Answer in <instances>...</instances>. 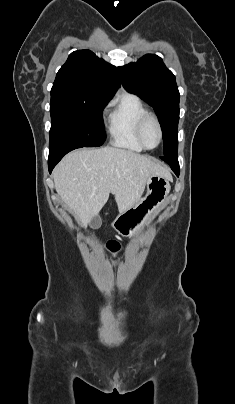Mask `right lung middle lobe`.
I'll use <instances>...</instances> for the list:
<instances>
[{
	"instance_id": "obj_1",
	"label": "right lung middle lobe",
	"mask_w": 235,
	"mask_h": 404,
	"mask_svg": "<svg viewBox=\"0 0 235 404\" xmlns=\"http://www.w3.org/2000/svg\"><path fill=\"white\" fill-rule=\"evenodd\" d=\"M107 100L51 91L49 147L75 144L101 146L106 139L102 110Z\"/></svg>"
}]
</instances>
